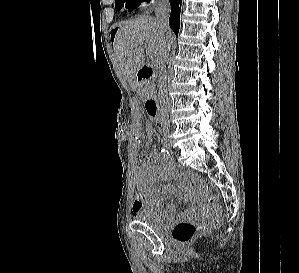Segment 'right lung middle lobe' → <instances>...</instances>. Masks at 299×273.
Returning <instances> with one entry per match:
<instances>
[{
  "label": "right lung middle lobe",
  "mask_w": 299,
  "mask_h": 273,
  "mask_svg": "<svg viewBox=\"0 0 299 273\" xmlns=\"http://www.w3.org/2000/svg\"><path fill=\"white\" fill-rule=\"evenodd\" d=\"M137 0H116L115 9L120 10L122 7L130 8Z\"/></svg>",
  "instance_id": "obj_1"
}]
</instances>
